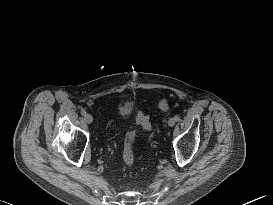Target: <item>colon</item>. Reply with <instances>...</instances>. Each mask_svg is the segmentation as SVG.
<instances>
[{
  "label": "colon",
  "mask_w": 273,
  "mask_h": 205,
  "mask_svg": "<svg viewBox=\"0 0 273 205\" xmlns=\"http://www.w3.org/2000/svg\"><path fill=\"white\" fill-rule=\"evenodd\" d=\"M159 107L162 110H166L168 105L166 100H161L159 102ZM136 122L142 128L148 130L150 129V121L149 118L143 113H138L136 116ZM135 133L129 132L126 138L124 150H123V162L127 166H131L134 163L135 155H134V142H135Z\"/></svg>",
  "instance_id": "obj_1"
}]
</instances>
